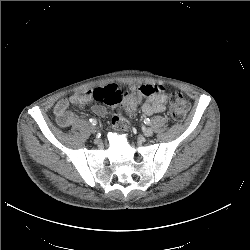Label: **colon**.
<instances>
[{"instance_id": "colon-1", "label": "colon", "mask_w": 250, "mask_h": 250, "mask_svg": "<svg viewBox=\"0 0 250 250\" xmlns=\"http://www.w3.org/2000/svg\"><path fill=\"white\" fill-rule=\"evenodd\" d=\"M92 96L96 101L105 103L112 107L113 117L112 123L115 129L122 131L127 128V123L122 112H132L141 100L140 92L123 91L116 85H108L103 88H97L92 92ZM170 116L181 121L185 118L189 110V102L183 94L174 92L169 97Z\"/></svg>"}]
</instances>
